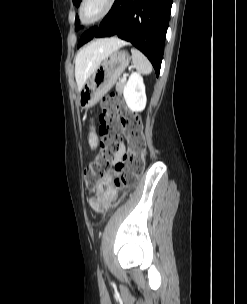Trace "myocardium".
<instances>
[{
	"label": "myocardium",
	"mask_w": 247,
	"mask_h": 304,
	"mask_svg": "<svg viewBox=\"0 0 247 304\" xmlns=\"http://www.w3.org/2000/svg\"><path fill=\"white\" fill-rule=\"evenodd\" d=\"M95 0H81L79 7H78V21L81 26L88 27L94 25L101 20H103L113 9L115 0H102V7L100 10L95 13L91 17H86L85 15V8L86 6Z\"/></svg>",
	"instance_id": "1"
}]
</instances>
